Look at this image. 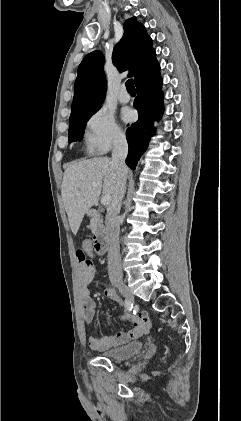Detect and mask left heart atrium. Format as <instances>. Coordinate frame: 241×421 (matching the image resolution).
<instances>
[{"instance_id": "1", "label": "left heart atrium", "mask_w": 241, "mask_h": 421, "mask_svg": "<svg viewBox=\"0 0 241 421\" xmlns=\"http://www.w3.org/2000/svg\"><path fill=\"white\" fill-rule=\"evenodd\" d=\"M133 113L131 111H128L125 115V120L126 121H131L133 119Z\"/></svg>"}]
</instances>
